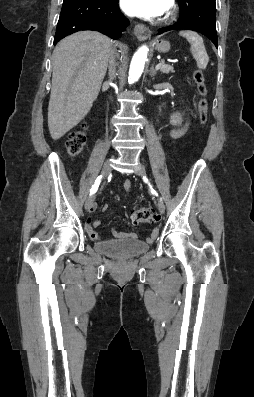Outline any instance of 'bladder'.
Instances as JSON below:
<instances>
[{
  "instance_id": "31cf9c89",
  "label": "bladder",
  "mask_w": 254,
  "mask_h": 397,
  "mask_svg": "<svg viewBox=\"0 0 254 397\" xmlns=\"http://www.w3.org/2000/svg\"><path fill=\"white\" fill-rule=\"evenodd\" d=\"M97 251L117 259H128L146 252L148 244L139 239L96 242Z\"/></svg>"
}]
</instances>
